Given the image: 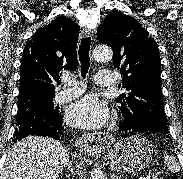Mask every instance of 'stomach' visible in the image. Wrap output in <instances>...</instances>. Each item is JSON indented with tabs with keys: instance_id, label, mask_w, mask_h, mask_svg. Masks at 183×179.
I'll use <instances>...</instances> for the list:
<instances>
[{
	"instance_id": "stomach-1",
	"label": "stomach",
	"mask_w": 183,
	"mask_h": 179,
	"mask_svg": "<svg viewBox=\"0 0 183 179\" xmlns=\"http://www.w3.org/2000/svg\"><path fill=\"white\" fill-rule=\"evenodd\" d=\"M150 142L141 135L118 141L109 151L110 166L118 172H137L147 168L153 158Z\"/></svg>"
}]
</instances>
